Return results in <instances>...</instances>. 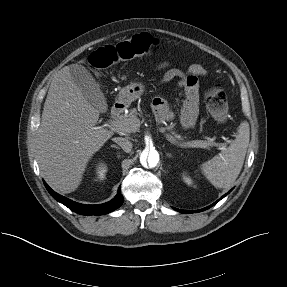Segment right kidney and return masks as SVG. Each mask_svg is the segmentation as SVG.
I'll use <instances>...</instances> for the list:
<instances>
[{"label": "right kidney", "instance_id": "right-kidney-1", "mask_svg": "<svg viewBox=\"0 0 287 287\" xmlns=\"http://www.w3.org/2000/svg\"><path fill=\"white\" fill-rule=\"evenodd\" d=\"M96 179L103 180L107 172V165L104 162H100L96 166Z\"/></svg>", "mask_w": 287, "mask_h": 287}]
</instances>
